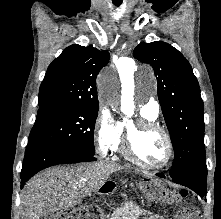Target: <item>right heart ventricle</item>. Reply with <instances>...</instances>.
<instances>
[{
	"label": "right heart ventricle",
	"mask_w": 221,
	"mask_h": 219,
	"mask_svg": "<svg viewBox=\"0 0 221 219\" xmlns=\"http://www.w3.org/2000/svg\"><path fill=\"white\" fill-rule=\"evenodd\" d=\"M141 115L144 118L148 119V120L154 121L156 119V117H153V116L149 115L148 113H145V112H142V111H141ZM125 128H126L125 123H123V122L120 123L119 138H118L117 143H116V145H115V147L113 149L114 152L115 151L122 152V150H121L122 146L121 145H122V141H123V135H124V132H125Z\"/></svg>",
	"instance_id": "e07e8e85"
}]
</instances>
